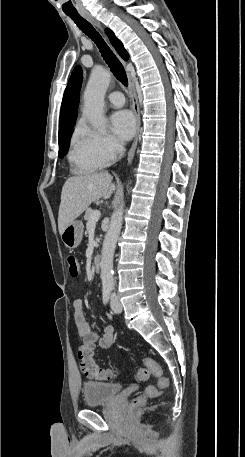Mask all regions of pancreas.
<instances>
[{
	"label": "pancreas",
	"instance_id": "1",
	"mask_svg": "<svg viewBox=\"0 0 245 457\" xmlns=\"http://www.w3.org/2000/svg\"><path fill=\"white\" fill-rule=\"evenodd\" d=\"M91 214H93V208H86L85 214H84V220H88V222H90Z\"/></svg>",
	"mask_w": 245,
	"mask_h": 457
}]
</instances>
